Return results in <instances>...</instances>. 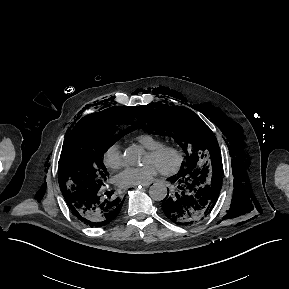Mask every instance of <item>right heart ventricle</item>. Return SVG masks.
<instances>
[{"instance_id":"1","label":"right heart ventricle","mask_w":289,"mask_h":289,"mask_svg":"<svg viewBox=\"0 0 289 289\" xmlns=\"http://www.w3.org/2000/svg\"><path fill=\"white\" fill-rule=\"evenodd\" d=\"M135 138L146 149H152L164 144L162 139L156 137L149 132L139 133Z\"/></svg>"}]
</instances>
